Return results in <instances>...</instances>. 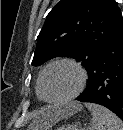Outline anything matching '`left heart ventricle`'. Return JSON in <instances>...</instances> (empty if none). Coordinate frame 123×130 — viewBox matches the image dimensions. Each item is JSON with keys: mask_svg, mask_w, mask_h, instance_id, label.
Listing matches in <instances>:
<instances>
[{"mask_svg": "<svg viewBox=\"0 0 123 130\" xmlns=\"http://www.w3.org/2000/svg\"><path fill=\"white\" fill-rule=\"evenodd\" d=\"M78 84V71L71 65L58 64L49 68L45 73L44 95L48 99H60L73 93Z\"/></svg>", "mask_w": 123, "mask_h": 130, "instance_id": "obj_1", "label": "left heart ventricle"}]
</instances>
